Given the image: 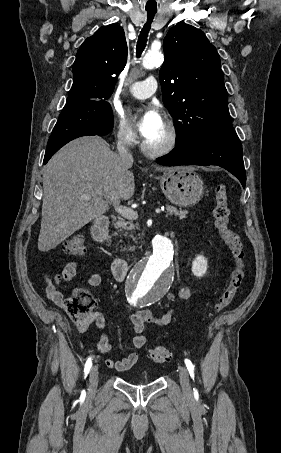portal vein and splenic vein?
I'll return each instance as SVG.
<instances>
[{
	"instance_id": "1",
	"label": "portal vein and splenic vein",
	"mask_w": 281,
	"mask_h": 453,
	"mask_svg": "<svg viewBox=\"0 0 281 453\" xmlns=\"http://www.w3.org/2000/svg\"><path fill=\"white\" fill-rule=\"evenodd\" d=\"M83 198H91L92 194H82ZM116 212L124 216V218H138L137 210H133V208H128V206H115ZM155 214H160V208H156Z\"/></svg>"
}]
</instances>
